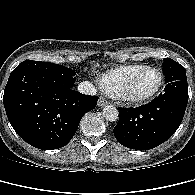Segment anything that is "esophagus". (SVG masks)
<instances>
[{
	"label": "esophagus",
	"instance_id": "obj_1",
	"mask_svg": "<svg viewBox=\"0 0 195 195\" xmlns=\"http://www.w3.org/2000/svg\"><path fill=\"white\" fill-rule=\"evenodd\" d=\"M107 104H109V102L103 97H100L98 102H97V105L100 107L105 106Z\"/></svg>",
	"mask_w": 195,
	"mask_h": 195
}]
</instances>
